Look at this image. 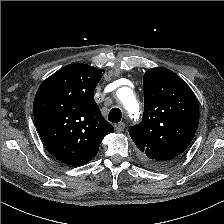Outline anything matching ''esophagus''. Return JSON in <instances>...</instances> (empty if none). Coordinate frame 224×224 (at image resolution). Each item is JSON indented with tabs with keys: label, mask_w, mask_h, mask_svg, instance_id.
<instances>
[{
	"label": "esophagus",
	"mask_w": 224,
	"mask_h": 224,
	"mask_svg": "<svg viewBox=\"0 0 224 224\" xmlns=\"http://www.w3.org/2000/svg\"><path fill=\"white\" fill-rule=\"evenodd\" d=\"M114 127L117 132H122L125 128V123L120 122V123L116 124Z\"/></svg>",
	"instance_id": "34e87169"
}]
</instances>
